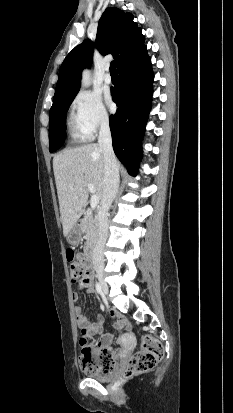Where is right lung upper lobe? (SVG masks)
Returning <instances> with one entry per match:
<instances>
[{"label":"right lung upper lobe","instance_id":"1","mask_svg":"<svg viewBox=\"0 0 233 413\" xmlns=\"http://www.w3.org/2000/svg\"><path fill=\"white\" fill-rule=\"evenodd\" d=\"M144 41L142 30L133 21L132 14L116 7L104 11L97 29L96 47L102 54L111 53L117 67L134 54ZM93 47L91 40L87 39L66 56L59 71L53 104L78 93L81 71L92 63Z\"/></svg>","mask_w":233,"mask_h":413}]
</instances>
